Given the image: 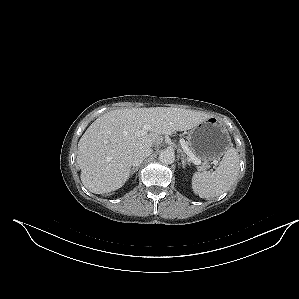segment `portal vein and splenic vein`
Instances as JSON below:
<instances>
[{"instance_id": "portal-vein-and-splenic-vein-1", "label": "portal vein and splenic vein", "mask_w": 299, "mask_h": 299, "mask_svg": "<svg viewBox=\"0 0 299 299\" xmlns=\"http://www.w3.org/2000/svg\"><path fill=\"white\" fill-rule=\"evenodd\" d=\"M150 125H145L143 126V128L139 131H137V136H143L145 135L149 130H150ZM181 146L182 149L184 150V152L187 154L189 160L194 163L195 165H199L201 164L200 159H198L197 157L194 156V154L192 153V151L188 148V146L186 145V143L184 141L181 142Z\"/></svg>"}]
</instances>
